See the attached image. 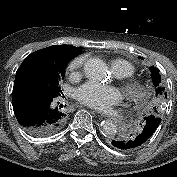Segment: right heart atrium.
Wrapping results in <instances>:
<instances>
[{
	"label": "right heart atrium",
	"instance_id": "obj_1",
	"mask_svg": "<svg viewBox=\"0 0 177 177\" xmlns=\"http://www.w3.org/2000/svg\"><path fill=\"white\" fill-rule=\"evenodd\" d=\"M84 61V57H77L70 62L68 65V71L72 77H76L79 74V70L83 66Z\"/></svg>",
	"mask_w": 177,
	"mask_h": 177
}]
</instances>
